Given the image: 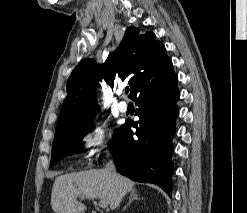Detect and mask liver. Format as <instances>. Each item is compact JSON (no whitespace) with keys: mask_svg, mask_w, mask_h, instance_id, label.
I'll return each instance as SVG.
<instances>
[{"mask_svg":"<svg viewBox=\"0 0 247 213\" xmlns=\"http://www.w3.org/2000/svg\"><path fill=\"white\" fill-rule=\"evenodd\" d=\"M133 187V181L117 173L113 176L107 168L65 174L55 178L51 207L55 213H84L86 206L77 198H99L114 210Z\"/></svg>","mask_w":247,"mask_h":213,"instance_id":"liver-1","label":"liver"}]
</instances>
